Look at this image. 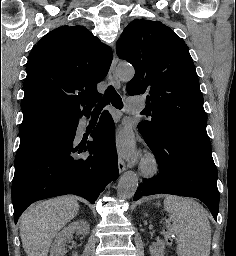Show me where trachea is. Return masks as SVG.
Wrapping results in <instances>:
<instances>
[{"mask_svg": "<svg viewBox=\"0 0 236 256\" xmlns=\"http://www.w3.org/2000/svg\"><path fill=\"white\" fill-rule=\"evenodd\" d=\"M109 103H111L115 108L121 109L123 107L122 99L112 85L106 89L101 102L96 106V108H94L93 112L100 113L102 108Z\"/></svg>", "mask_w": 236, "mask_h": 256, "instance_id": "trachea-1", "label": "trachea"}]
</instances>
